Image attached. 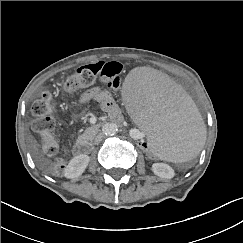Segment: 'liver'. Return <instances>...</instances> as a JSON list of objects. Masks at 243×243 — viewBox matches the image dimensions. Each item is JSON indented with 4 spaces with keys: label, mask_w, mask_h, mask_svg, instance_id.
<instances>
[{
    "label": "liver",
    "mask_w": 243,
    "mask_h": 243,
    "mask_svg": "<svg viewBox=\"0 0 243 243\" xmlns=\"http://www.w3.org/2000/svg\"><path fill=\"white\" fill-rule=\"evenodd\" d=\"M33 146H34L35 151L38 153V150H37V142L36 141H34Z\"/></svg>",
    "instance_id": "6515ba94"
}]
</instances>
